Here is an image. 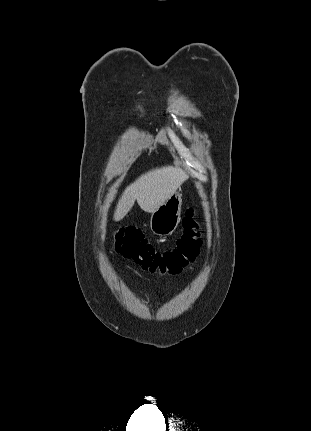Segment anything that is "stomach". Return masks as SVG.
I'll use <instances>...</instances> for the list:
<instances>
[{"instance_id":"stomach-1","label":"stomach","mask_w":311,"mask_h":431,"mask_svg":"<svg viewBox=\"0 0 311 431\" xmlns=\"http://www.w3.org/2000/svg\"><path fill=\"white\" fill-rule=\"evenodd\" d=\"M182 210V194H172L156 212H151L150 229L156 235H171L179 225Z\"/></svg>"}]
</instances>
